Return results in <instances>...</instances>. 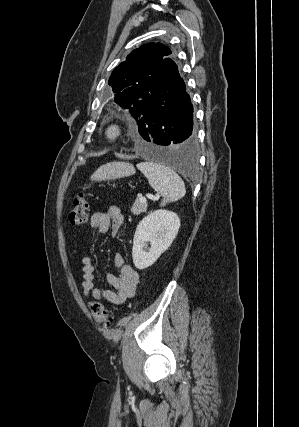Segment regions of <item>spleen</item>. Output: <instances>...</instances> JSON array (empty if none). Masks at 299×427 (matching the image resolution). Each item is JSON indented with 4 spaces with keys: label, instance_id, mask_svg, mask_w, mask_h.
Instances as JSON below:
<instances>
[{
    "label": "spleen",
    "instance_id": "1",
    "mask_svg": "<svg viewBox=\"0 0 299 427\" xmlns=\"http://www.w3.org/2000/svg\"><path fill=\"white\" fill-rule=\"evenodd\" d=\"M137 168L148 179L150 186L161 194L163 200L160 206L177 201L185 193V184L181 177L171 168L152 161L141 162Z\"/></svg>",
    "mask_w": 299,
    "mask_h": 427
}]
</instances>
